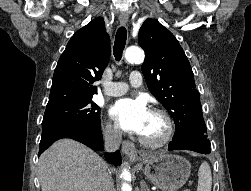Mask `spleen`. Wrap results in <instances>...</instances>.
<instances>
[{
	"label": "spleen",
	"instance_id": "1",
	"mask_svg": "<svg viewBox=\"0 0 251 191\" xmlns=\"http://www.w3.org/2000/svg\"><path fill=\"white\" fill-rule=\"evenodd\" d=\"M199 179L197 185V191H211L212 187V173L209 163L202 161L199 171Z\"/></svg>",
	"mask_w": 251,
	"mask_h": 191
}]
</instances>
